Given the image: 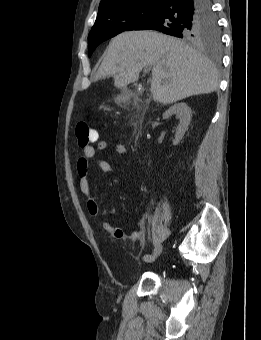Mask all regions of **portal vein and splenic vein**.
<instances>
[{
    "label": "portal vein and splenic vein",
    "instance_id": "1",
    "mask_svg": "<svg viewBox=\"0 0 261 340\" xmlns=\"http://www.w3.org/2000/svg\"><path fill=\"white\" fill-rule=\"evenodd\" d=\"M150 70V67H146L145 71Z\"/></svg>",
    "mask_w": 261,
    "mask_h": 340
}]
</instances>
